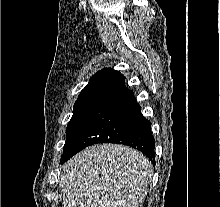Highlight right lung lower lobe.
Here are the masks:
<instances>
[{
  "mask_svg": "<svg viewBox=\"0 0 220 207\" xmlns=\"http://www.w3.org/2000/svg\"><path fill=\"white\" fill-rule=\"evenodd\" d=\"M118 73L102 83L87 115L74 133L61 163L95 143L126 144L143 152L155 163V140L151 123L141 114L132 91Z\"/></svg>",
  "mask_w": 220,
  "mask_h": 207,
  "instance_id": "obj_1",
  "label": "right lung lower lobe"
}]
</instances>
